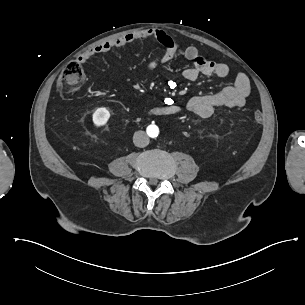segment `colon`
<instances>
[{"instance_id": "colon-1", "label": "colon", "mask_w": 305, "mask_h": 305, "mask_svg": "<svg viewBox=\"0 0 305 305\" xmlns=\"http://www.w3.org/2000/svg\"><path fill=\"white\" fill-rule=\"evenodd\" d=\"M85 74L84 65L78 60L68 61L64 67L61 76L56 81V88L59 91L66 89L69 92L78 91L83 85V76ZM257 123L262 122V115L255 111L253 115Z\"/></svg>"}]
</instances>
